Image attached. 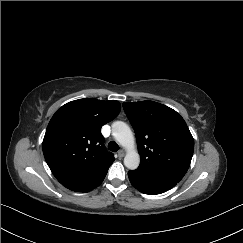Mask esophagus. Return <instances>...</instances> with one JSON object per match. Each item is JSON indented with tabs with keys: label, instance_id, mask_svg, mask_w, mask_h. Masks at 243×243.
Returning a JSON list of instances; mask_svg holds the SVG:
<instances>
[{
	"label": "esophagus",
	"instance_id": "esophagus-1",
	"mask_svg": "<svg viewBox=\"0 0 243 243\" xmlns=\"http://www.w3.org/2000/svg\"><path fill=\"white\" fill-rule=\"evenodd\" d=\"M117 155H118L119 158H123L124 155H125V151L124 150H120V151H118Z\"/></svg>",
	"mask_w": 243,
	"mask_h": 243
}]
</instances>
